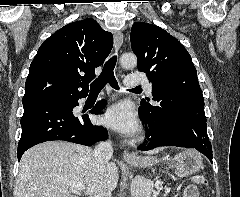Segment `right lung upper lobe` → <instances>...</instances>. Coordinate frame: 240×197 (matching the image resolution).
<instances>
[{"label": "right lung upper lobe", "instance_id": "obj_1", "mask_svg": "<svg viewBox=\"0 0 240 197\" xmlns=\"http://www.w3.org/2000/svg\"><path fill=\"white\" fill-rule=\"evenodd\" d=\"M113 46V36L94 19L72 22L46 39L33 59L25 83L23 103L87 95L95 68Z\"/></svg>", "mask_w": 240, "mask_h": 197}]
</instances>
